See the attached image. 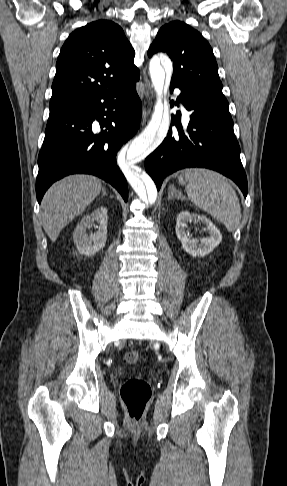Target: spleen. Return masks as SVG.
<instances>
[{
    "mask_svg": "<svg viewBox=\"0 0 287 486\" xmlns=\"http://www.w3.org/2000/svg\"><path fill=\"white\" fill-rule=\"evenodd\" d=\"M188 198L198 208L222 222L234 232L241 221L238 196L223 175L208 169L194 168L185 171Z\"/></svg>",
    "mask_w": 287,
    "mask_h": 486,
    "instance_id": "spleen-1",
    "label": "spleen"
}]
</instances>
